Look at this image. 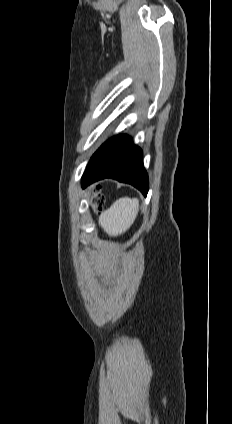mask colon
<instances>
[{
	"mask_svg": "<svg viewBox=\"0 0 232 424\" xmlns=\"http://www.w3.org/2000/svg\"><path fill=\"white\" fill-rule=\"evenodd\" d=\"M91 205L93 210L96 212L100 211L103 208L104 198L101 194V189L98 186L92 189Z\"/></svg>",
	"mask_w": 232,
	"mask_h": 424,
	"instance_id": "1",
	"label": "colon"
}]
</instances>
